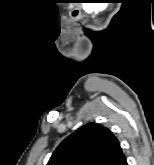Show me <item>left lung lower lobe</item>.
<instances>
[{"label":"left lung lower lobe","instance_id":"obj_1","mask_svg":"<svg viewBox=\"0 0 154 165\" xmlns=\"http://www.w3.org/2000/svg\"><path fill=\"white\" fill-rule=\"evenodd\" d=\"M117 165H127L126 158L123 156Z\"/></svg>","mask_w":154,"mask_h":165}]
</instances>
